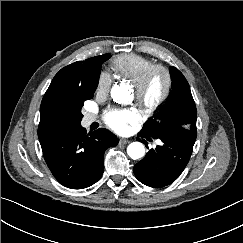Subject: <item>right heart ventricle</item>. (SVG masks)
I'll list each match as a JSON object with an SVG mask.
<instances>
[{
	"label": "right heart ventricle",
	"instance_id": "right-heart-ventricle-1",
	"mask_svg": "<svg viewBox=\"0 0 243 243\" xmlns=\"http://www.w3.org/2000/svg\"><path fill=\"white\" fill-rule=\"evenodd\" d=\"M152 65H154V62L151 59L137 54L119 55L110 64L111 69L119 78L131 84H135Z\"/></svg>",
	"mask_w": 243,
	"mask_h": 243
}]
</instances>
